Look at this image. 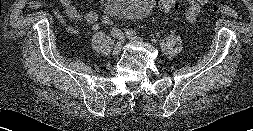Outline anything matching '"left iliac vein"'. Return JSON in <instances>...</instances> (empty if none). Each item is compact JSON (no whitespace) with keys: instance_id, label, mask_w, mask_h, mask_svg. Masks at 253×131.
<instances>
[{"instance_id":"left-iliac-vein-1","label":"left iliac vein","mask_w":253,"mask_h":131,"mask_svg":"<svg viewBox=\"0 0 253 131\" xmlns=\"http://www.w3.org/2000/svg\"><path fill=\"white\" fill-rule=\"evenodd\" d=\"M128 39L135 42H142L141 38L138 36H129Z\"/></svg>"}]
</instances>
